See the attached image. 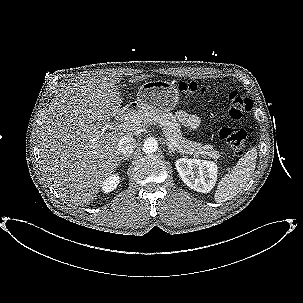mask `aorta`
Masks as SVG:
<instances>
[{
  "label": "aorta",
  "instance_id": "aorta-1",
  "mask_svg": "<svg viewBox=\"0 0 303 303\" xmlns=\"http://www.w3.org/2000/svg\"><path fill=\"white\" fill-rule=\"evenodd\" d=\"M142 150L145 154L155 153L158 150L157 140L153 137L145 139Z\"/></svg>",
  "mask_w": 303,
  "mask_h": 303
}]
</instances>
